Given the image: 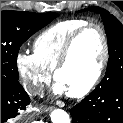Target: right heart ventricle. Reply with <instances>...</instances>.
Listing matches in <instances>:
<instances>
[{
    "label": "right heart ventricle",
    "mask_w": 123,
    "mask_h": 123,
    "mask_svg": "<svg viewBox=\"0 0 123 123\" xmlns=\"http://www.w3.org/2000/svg\"><path fill=\"white\" fill-rule=\"evenodd\" d=\"M86 23L83 19H69L53 24L36 37L33 54L43 66L52 71L68 37Z\"/></svg>",
    "instance_id": "e07e8e85"
}]
</instances>
